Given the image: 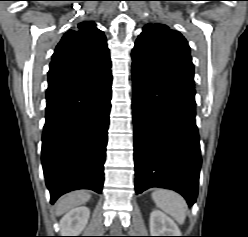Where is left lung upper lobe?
Returning <instances> with one entry per match:
<instances>
[{
  "mask_svg": "<svg viewBox=\"0 0 248 237\" xmlns=\"http://www.w3.org/2000/svg\"><path fill=\"white\" fill-rule=\"evenodd\" d=\"M133 64L174 85L195 87L186 39L164 24H147L132 50Z\"/></svg>",
  "mask_w": 248,
  "mask_h": 237,
  "instance_id": "left-lung-upper-lobe-1",
  "label": "left lung upper lobe"
}]
</instances>
